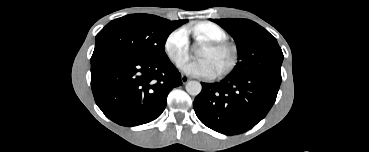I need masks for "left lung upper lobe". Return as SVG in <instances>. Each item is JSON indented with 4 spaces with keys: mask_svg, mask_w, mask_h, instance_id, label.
<instances>
[{
    "mask_svg": "<svg viewBox=\"0 0 369 152\" xmlns=\"http://www.w3.org/2000/svg\"><path fill=\"white\" fill-rule=\"evenodd\" d=\"M235 40L238 63L230 74H271L281 77L283 53L276 39L263 27L247 19L212 20Z\"/></svg>",
    "mask_w": 369,
    "mask_h": 152,
    "instance_id": "left-lung-upper-lobe-1",
    "label": "left lung upper lobe"
}]
</instances>
